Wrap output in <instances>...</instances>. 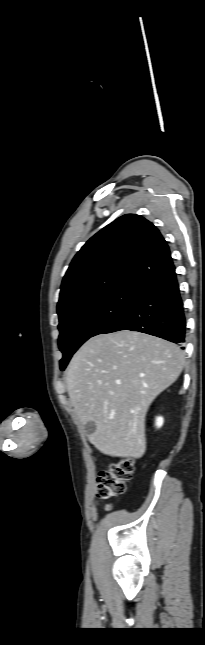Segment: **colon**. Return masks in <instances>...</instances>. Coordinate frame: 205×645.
Segmentation results:
<instances>
[{
	"label": "colon",
	"instance_id": "1",
	"mask_svg": "<svg viewBox=\"0 0 205 645\" xmlns=\"http://www.w3.org/2000/svg\"><path fill=\"white\" fill-rule=\"evenodd\" d=\"M133 471L134 460L131 458H121L101 471L97 480L98 497L105 500L123 494Z\"/></svg>",
	"mask_w": 205,
	"mask_h": 645
}]
</instances>
